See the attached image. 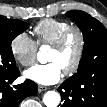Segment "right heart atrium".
<instances>
[{"mask_svg":"<svg viewBox=\"0 0 107 107\" xmlns=\"http://www.w3.org/2000/svg\"><path fill=\"white\" fill-rule=\"evenodd\" d=\"M15 60L22 66H30L36 60L37 43L25 32L17 34L10 43Z\"/></svg>","mask_w":107,"mask_h":107,"instance_id":"obj_1","label":"right heart atrium"}]
</instances>
